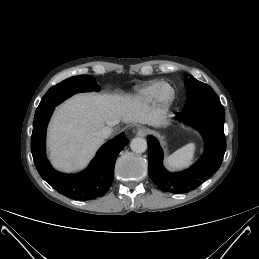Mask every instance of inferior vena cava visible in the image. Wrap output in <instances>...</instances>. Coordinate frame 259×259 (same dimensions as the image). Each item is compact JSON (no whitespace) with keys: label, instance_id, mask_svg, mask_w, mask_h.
Returning <instances> with one entry per match:
<instances>
[{"label":"inferior vena cava","instance_id":"obj_1","mask_svg":"<svg viewBox=\"0 0 259 259\" xmlns=\"http://www.w3.org/2000/svg\"><path fill=\"white\" fill-rule=\"evenodd\" d=\"M112 128L110 126H105L101 130L97 131L95 135L99 138L106 139L112 134Z\"/></svg>","mask_w":259,"mask_h":259}]
</instances>
